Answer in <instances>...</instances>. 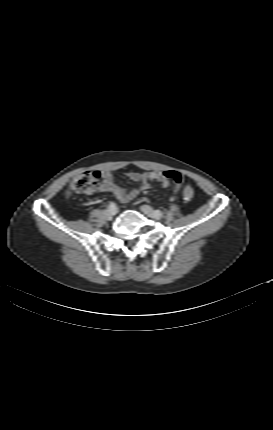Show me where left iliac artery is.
<instances>
[{
  "label": "left iliac artery",
  "mask_w": 273,
  "mask_h": 430,
  "mask_svg": "<svg viewBox=\"0 0 273 430\" xmlns=\"http://www.w3.org/2000/svg\"><path fill=\"white\" fill-rule=\"evenodd\" d=\"M156 212H157V215H158V216L162 217V212H161V211L156 210Z\"/></svg>",
  "instance_id": "1"
}]
</instances>
